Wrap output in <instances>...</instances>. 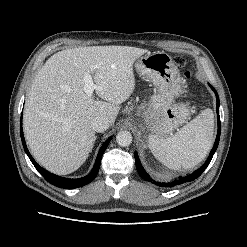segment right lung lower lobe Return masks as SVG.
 Here are the masks:
<instances>
[{
  "instance_id": "98d812e1",
  "label": "right lung lower lobe",
  "mask_w": 247,
  "mask_h": 247,
  "mask_svg": "<svg viewBox=\"0 0 247 247\" xmlns=\"http://www.w3.org/2000/svg\"><path fill=\"white\" fill-rule=\"evenodd\" d=\"M20 126H21L20 127V135H21L22 144H23L24 150H25L26 154L28 155L29 159L31 160V162L33 163L35 168L39 171V173L49 183L53 184L54 186L60 187V188H68V189L77 188V187L84 186V185L90 183L91 181H93L95 179V177L97 176V173L99 171L102 155H103L104 151L106 150L109 142L112 139V138H109L100 148L99 153H98L97 158H96L95 165H94V167H93V169L89 175H87L83 178H79V179H68V178L59 177L57 175H54V174L48 172L47 170L43 169L42 167H40L35 162V160L30 155V153L27 149L26 143H25V139H24V135H23V129H22V118L20 121Z\"/></svg>"
}]
</instances>
